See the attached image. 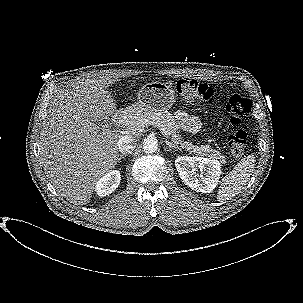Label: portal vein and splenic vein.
I'll return each instance as SVG.
<instances>
[{"label":"portal vein and splenic vein","instance_id":"18ae733b","mask_svg":"<svg viewBox=\"0 0 303 303\" xmlns=\"http://www.w3.org/2000/svg\"><path fill=\"white\" fill-rule=\"evenodd\" d=\"M149 124H150V125H153V126H155V127H157V128H159V130L163 133V135H164L165 137H169L168 131L166 130V128H165L162 124L157 123V122H151V123H149Z\"/></svg>","mask_w":303,"mask_h":303}]
</instances>
